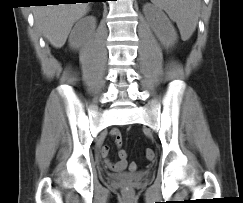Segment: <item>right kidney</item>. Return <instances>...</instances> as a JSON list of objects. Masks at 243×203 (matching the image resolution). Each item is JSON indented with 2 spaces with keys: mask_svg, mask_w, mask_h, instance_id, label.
I'll return each mask as SVG.
<instances>
[{
  "mask_svg": "<svg viewBox=\"0 0 243 203\" xmlns=\"http://www.w3.org/2000/svg\"><path fill=\"white\" fill-rule=\"evenodd\" d=\"M96 18L88 16L82 18L76 23L69 36V46L73 49H78L84 41L89 38L95 31Z\"/></svg>",
  "mask_w": 243,
  "mask_h": 203,
  "instance_id": "1",
  "label": "right kidney"
}]
</instances>
